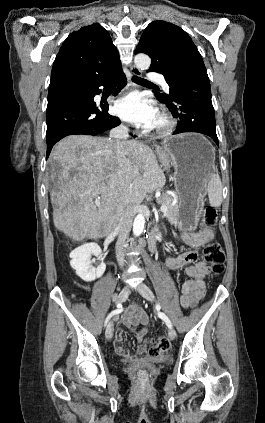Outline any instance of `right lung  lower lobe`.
Masks as SVG:
<instances>
[{"label":"right lung lower lobe","mask_w":265,"mask_h":423,"mask_svg":"<svg viewBox=\"0 0 265 423\" xmlns=\"http://www.w3.org/2000/svg\"><path fill=\"white\" fill-rule=\"evenodd\" d=\"M113 83L119 87L116 95L126 85L123 71L109 78L93 79L50 89L46 111L47 157L53 145L68 135H98L118 126L121 121L108 114V104L96 105L93 97Z\"/></svg>","instance_id":"right-lung-lower-lobe-1"}]
</instances>
